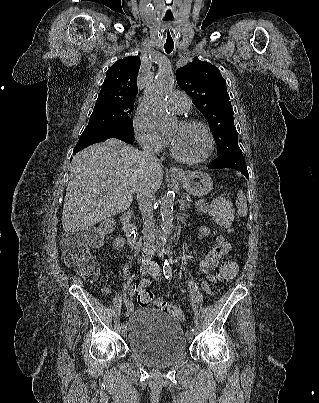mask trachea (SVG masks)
<instances>
[{"instance_id": "1", "label": "trachea", "mask_w": 319, "mask_h": 403, "mask_svg": "<svg viewBox=\"0 0 319 403\" xmlns=\"http://www.w3.org/2000/svg\"><path fill=\"white\" fill-rule=\"evenodd\" d=\"M165 38H166V42L164 44V48H165V52L167 54H169L172 52V50L174 48V41H173V38H172L169 30L166 32Z\"/></svg>"}]
</instances>
